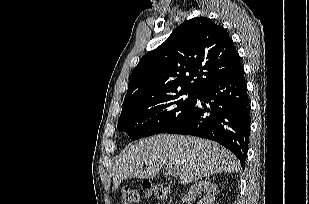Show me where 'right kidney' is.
Wrapping results in <instances>:
<instances>
[{"mask_svg": "<svg viewBox=\"0 0 309 204\" xmlns=\"http://www.w3.org/2000/svg\"><path fill=\"white\" fill-rule=\"evenodd\" d=\"M216 193L217 185L215 183L206 180L199 181L190 187L189 191L182 199V204H190L189 202L195 200L196 196L199 194H203V197L198 204H213Z\"/></svg>", "mask_w": 309, "mask_h": 204, "instance_id": "1", "label": "right kidney"}]
</instances>
